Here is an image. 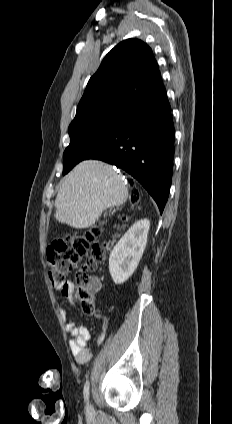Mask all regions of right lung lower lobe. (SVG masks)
<instances>
[{
    "mask_svg": "<svg viewBox=\"0 0 232 424\" xmlns=\"http://www.w3.org/2000/svg\"><path fill=\"white\" fill-rule=\"evenodd\" d=\"M174 157V124L164 86L134 103L126 123L84 159H97L124 169L149 192L160 213L166 204Z\"/></svg>",
    "mask_w": 232,
    "mask_h": 424,
    "instance_id": "obj_1",
    "label": "right lung lower lobe"
}]
</instances>
